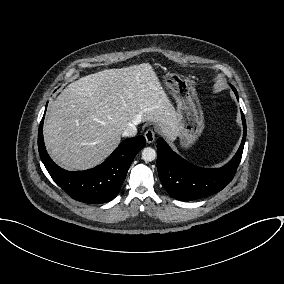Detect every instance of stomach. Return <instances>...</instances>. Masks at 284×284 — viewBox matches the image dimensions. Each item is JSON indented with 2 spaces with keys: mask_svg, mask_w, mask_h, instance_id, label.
Here are the masks:
<instances>
[{
  "mask_svg": "<svg viewBox=\"0 0 284 284\" xmlns=\"http://www.w3.org/2000/svg\"><path fill=\"white\" fill-rule=\"evenodd\" d=\"M164 84L176 101L178 138L184 148L194 144L204 129V115L194 82L180 74L166 73Z\"/></svg>",
  "mask_w": 284,
  "mask_h": 284,
  "instance_id": "stomach-1",
  "label": "stomach"
}]
</instances>
